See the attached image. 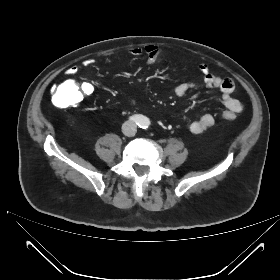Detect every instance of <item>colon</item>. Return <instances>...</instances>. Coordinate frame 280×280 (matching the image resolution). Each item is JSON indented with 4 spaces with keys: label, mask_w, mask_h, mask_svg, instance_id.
Wrapping results in <instances>:
<instances>
[{
    "label": "colon",
    "mask_w": 280,
    "mask_h": 280,
    "mask_svg": "<svg viewBox=\"0 0 280 280\" xmlns=\"http://www.w3.org/2000/svg\"><path fill=\"white\" fill-rule=\"evenodd\" d=\"M80 87L71 78H67L57 84L52 92V101L59 108L71 107L78 104L82 97L80 95ZM225 119L232 120V114L223 115Z\"/></svg>",
    "instance_id": "colon-1"
}]
</instances>
